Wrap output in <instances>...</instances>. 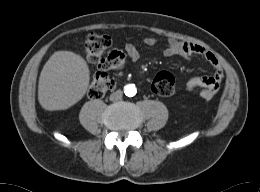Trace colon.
<instances>
[{
	"label": "colon",
	"instance_id": "5ec220e1",
	"mask_svg": "<svg viewBox=\"0 0 260 192\" xmlns=\"http://www.w3.org/2000/svg\"><path fill=\"white\" fill-rule=\"evenodd\" d=\"M111 46V39L102 34L91 33L86 38L84 53L86 58L97 64L98 72L94 76L88 91L92 99H100L104 94L114 87V81L108 75L109 71L120 70L125 64V56L120 51H111L105 55ZM154 94L169 97L175 93V79L169 72H159L151 83Z\"/></svg>",
	"mask_w": 260,
	"mask_h": 192
}]
</instances>
